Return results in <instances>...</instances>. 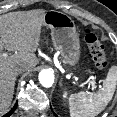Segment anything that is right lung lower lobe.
<instances>
[{
    "label": "right lung lower lobe",
    "instance_id": "obj_1",
    "mask_svg": "<svg viewBox=\"0 0 117 117\" xmlns=\"http://www.w3.org/2000/svg\"><path fill=\"white\" fill-rule=\"evenodd\" d=\"M17 104H15V106L12 108V110L10 112H8L6 115H4L3 117H9L16 109Z\"/></svg>",
    "mask_w": 117,
    "mask_h": 117
}]
</instances>
